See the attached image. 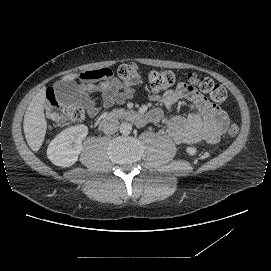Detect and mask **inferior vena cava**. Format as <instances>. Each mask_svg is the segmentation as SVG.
Segmentation results:
<instances>
[{"instance_id":"obj_1","label":"inferior vena cava","mask_w":271,"mask_h":271,"mask_svg":"<svg viewBox=\"0 0 271 271\" xmlns=\"http://www.w3.org/2000/svg\"><path fill=\"white\" fill-rule=\"evenodd\" d=\"M119 126V120L111 114L106 115L101 122L102 130L107 135L114 134L119 129Z\"/></svg>"}]
</instances>
